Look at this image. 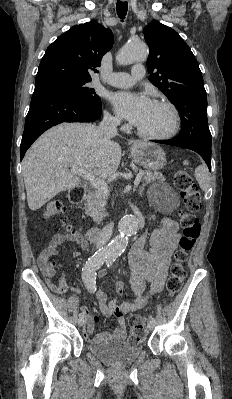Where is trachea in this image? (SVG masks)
<instances>
[{
	"label": "trachea",
	"instance_id": "obj_1",
	"mask_svg": "<svg viewBox=\"0 0 232 399\" xmlns=\"http://www.w3.org/2000/svg\"><path fill=\"white\" fill-rule=\"evenodd\" d=\"M116 10L118 17L124 19L127 14L128 3L123 1L121 2L120 0H118Z\"/></svg>",
	"mask_w": 232,
	"mask_h": 399
}]
</instances>
